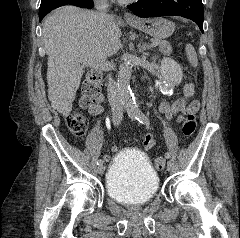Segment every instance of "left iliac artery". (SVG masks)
I'll return each instance as SVG.
<instances>
[{
    "label": "left iliac artery",
    "mask_w": 240,
    "mask_h": 238,
    "mask_svg": "<svg viewBox=\"0 0 240 238\" xmlns=\"http://www.w3.org/2000/svg\"><path fill=\"white\" fill-rule=\"evenodd\" d=\"M137 120L140 122V123H142V124H148V119H147V117L144 115V114H139L138 116H137ZM165 157L166 158H170V154L167 152V153H165Z\"/></svg>",
    "instance_id": "left-iliac-artery-1"
}]
</instances>
